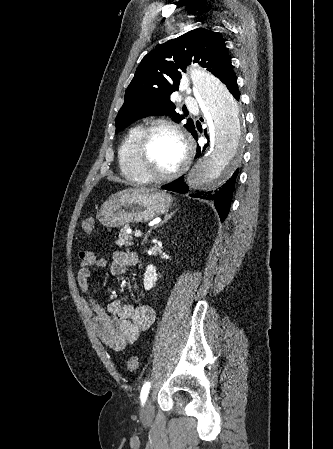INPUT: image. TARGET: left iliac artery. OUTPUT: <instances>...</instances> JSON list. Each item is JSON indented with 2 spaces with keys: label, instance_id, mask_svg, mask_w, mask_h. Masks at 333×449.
<instances>
[{
  "label": "left iliac artery",
  "instance_id": "obj_1",
  "mask_svg": "<svg viewBox=\"0 0 333 449\" xmlns=\"http://www.w3.org/2000/svg\"><path fill=\"white\" fill-rule=\"evenodd\" d=\"M150 390V382L144 383L140 393L141 404L143 405L147 399L148 393Z\"/></svg>",
  "mask_w": 333,
  "mask_h": 449
}]
</instances>
